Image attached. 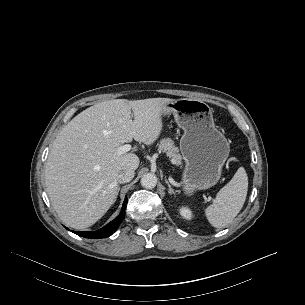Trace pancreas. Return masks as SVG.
Wrapping results in <instances>:
<instances>
[{"instance_id": "1", "label": "pancreas", "mask_w": 305, "mask_h": 305, "mask_svg": "<svg viewBox=\"0 0 305 305\" xmlns=\"http://www.w3.org/2000/svg\"><path fill=\"white\" fill-rule=\"evenodd\" d=\"M158 149L159 151H163L171 159V162L174 165L178 166L182 164L179 150L170 138L161 139L158 144Z\"/></svg>"}]
</instances>
